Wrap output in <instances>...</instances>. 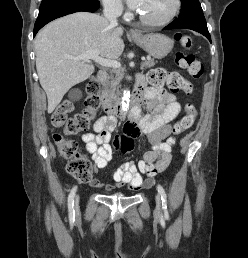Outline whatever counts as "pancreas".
<instances>
[{"label":"pancreas","mask_w":248,"mask_h":258,"mask_svg":"<svg viewBox=\"0 0 248 258\" xmlns=\"http://www.w3.org/2000/svg\"><path fill=\"white\" fill-rule=\"evenodd\" d=\"M155 66V61L153 59L146 60L142 63V68L147 69ZM123 78V73L120 70H114L113 74L110 75L107 81L104 83L105 90L110 94H118L120 82Z\"/></svg>","instance_id":"obj_1"}]
</instances>
